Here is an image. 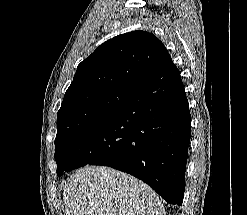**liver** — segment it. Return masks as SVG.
I'll return each instance as SVG.
<instances>
[{
    "label": "liver",
    "mask_w": 247,
    "mask_h": 215,
    "mask_svg": "<svg viewBox=\"0 0 247 215\" xmlns=\"http://www.w3.org/2000/svg\"><path fill=\"white\" fill-rule=\"evenodd\" d=\"M63 190L66 215H166L147 184L108 167L79 169Z\"/></svg>",
    "instance_id": "1"
}]
</instances>
